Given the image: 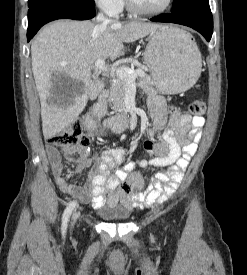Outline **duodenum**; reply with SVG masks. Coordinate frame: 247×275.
Returning a JSON list of instances; mask_svg holds the SVG:
<instances>
[{"mask_svg": "<svg viewBox=\"0 0 247 275\" xmlns=\"http://www.w3.org/2000/svg\"><path fill=\"white\" fill-rule=\"evenodd\" d=\"M107 103V91H103L98 98L97 105L98 107H104ZM93 117V114H90V118ZM104 127L115 132H123L128 126V118L125 115L115 116L107 118L104 120Z\"/></svg>", "mask_w": 247, "mask_h": 275, "instance_id": "410a0bca", "label": "duodenum"}]
</instances>
